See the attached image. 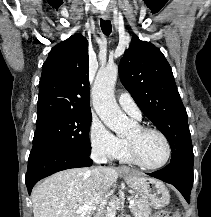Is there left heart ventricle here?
Instances as JSON below:
<instances>
[{
  "label": "left heart ventricle",
  "instance_id": "left-heart-ventricle-1",
  "mask_svg": "<svg viewBox=\"0 0 211 217\" xmlns=\"http://www.w3.org/2000/svg\"><path fill=\"white\" fill-rule=\"evenodd\" d=\"M136 147L140 158L148 165H158L166 157V145L163 139L156 133H141L135 128L128 136Z\"/></svg>",
  "mask_w": 211,
  "mask_h": 217
}]
</instances>
